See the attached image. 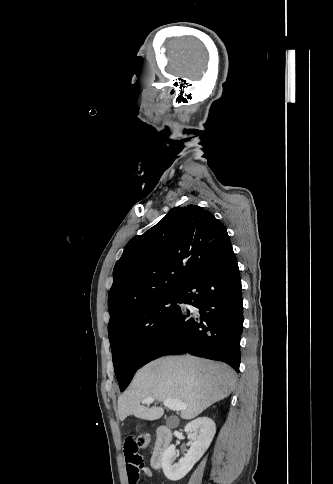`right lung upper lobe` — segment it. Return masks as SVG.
<instances>
[{
    "mask_svg": "<svg viewBox=\"0 0 333 484\" xmlns=\"http://www.w3.org/2000/svg\"><path fill=\"white\" fill-rule=\"evenodd\" d=\"M231 245L227 230L197 205L172 208L131 239L113 270L109 325L155 297L181 291Z\"/></svg>",
    "mask_w": 333,
    "mask_h": 484,
    "instance_id": "right-lung-upper-lobe-1",
    "label": "right lung upper lobe"
}]
</instances>
